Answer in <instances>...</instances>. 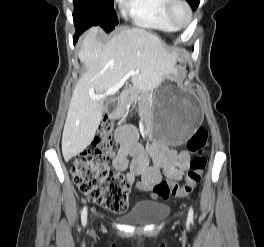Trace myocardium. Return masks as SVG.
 <instances>
[{
  "instance_id": "1",
  "label": "myocardium",
  "mask_w": 264,
  "mask_h": 247,
  "mask_svg": "<svg viewBox=\"0 0 264 247\" xmlns=\"http://www.w3.org/2000/svg\"><path fill=\"white\" fill-rule=\"evenodd\" d=\"M180 7L186 11L188 17L186 23H181L177 18V11ZM167 14L170 21L177 29H185L193 22V10L186 0H170L167 6Z\"/></svg>"
}]
</instances>
